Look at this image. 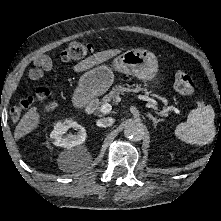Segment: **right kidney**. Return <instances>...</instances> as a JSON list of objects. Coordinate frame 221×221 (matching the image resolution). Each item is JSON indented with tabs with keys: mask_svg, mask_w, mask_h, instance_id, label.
I'll return each instance as SVG.
<instances>
[{
	"mask_svg": "<svg viewBox=\"0 0 221 221\" xmlns=\"http://www.w3.org/2000/svg\"><path fill=\"white\" fill-rule=\"evenodd\" d=\"M70 128H74V130L77 131V134L65 135ZM50 138L54 145L70 149L84 143L86 139V131L77 122L66 120L63 123L59 122L55 125L50 134Z\"/></svg>",
	"mask_w": 221,
	"mask_h": 221,
	"instance_id": "ca27d5eb",
	"label": "right kidney"
}]
</instances>
